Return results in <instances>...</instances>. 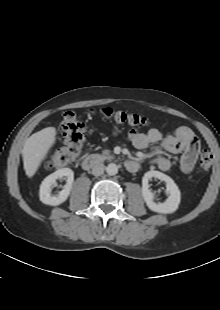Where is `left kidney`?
Listing matches in <instances>:
<instances>
[{"instance_id": "5707ae66", "label": "left kidney", "mask_w": 220, "mask_h": 310, "mask_svg": "<svg viewBox=\"0 0 220 310\" xmlns=\"http://www.w3.org/2000/svg\"><path fill=\"white\" fill-rule=\"evenodd\" d=\"M158 178L166 183V192L169 197L164 203H155L154 194L149 189V180L152 178ZM142 196L148 208L157 213L171 214L174 213L180 204V190L176 183L168 175L159 171H148L142 178Z\"/></svg>"}]
</instances>
